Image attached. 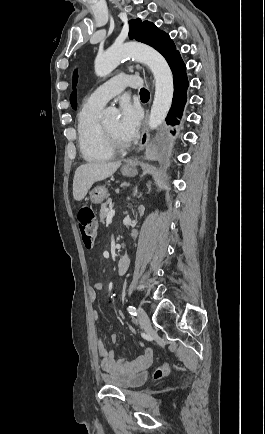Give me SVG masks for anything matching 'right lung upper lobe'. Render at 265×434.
<instances>
[{
  "mask_svg": "<svg viewBox=\"0 0 265 434\" xmlns=\"http://www.w3.org/2000/svg\"><path fill=\"white\" fill-rule=\"evenodd\" d=\"M77 78H78V74L75 71L74 75H73V88H75L76 84H77ZM70 102L72 105V108H76V90H74L70 96Z\"/></svg>",
  "mask_w": 265,
  "mask_h": 434,
  "instance_id": "1",
  "label": "right lung upper lobe"
}]
</instances>
